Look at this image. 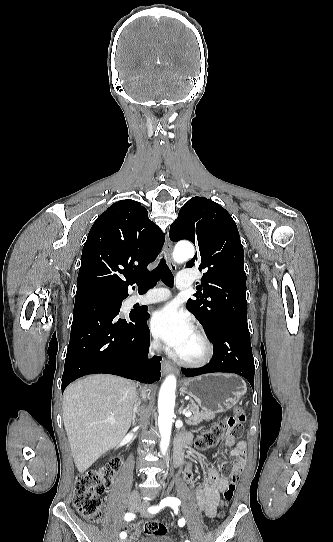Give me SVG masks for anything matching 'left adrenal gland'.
Returning <instances> with one entry per match:
<instances>
[{"instance_id":"left-adrenal-gland-1","label":"left adrenal gland","mask_w":333,"mask_h":542,"mask_svg":"<svg viewBox=\"0 0 333 542\" xmlns=\"http://www.w3.org/2000/svg\"><path fill=\"white\" fill-rule=\"evenodd\" d=\"M183 406H184V402H183ZM183 406H182V408H183ZM182 408H180L179 412H182Z\"/></svg>"}]
</instances>
